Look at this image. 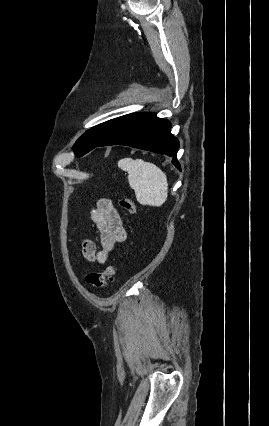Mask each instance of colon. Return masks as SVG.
<instances>
[{"instance_id": "colon-1", "label": "colon", "mask_w": 269, "mask_h": 426, "mask_svg": "<svg viewBox=\"0 0 269 426\" xmlns=\"http://www.w3.org/2000/svg\"><path fill=\"white\" fill-rule=\"evenodd\" d=\"M118 204L127 213L133 214L136 211V204L132 198H120ZM117 270L116 266H108L103 271L90 272L86 275V283L92 288H102L114 279Z\"/></svg>"}]
</instances>
